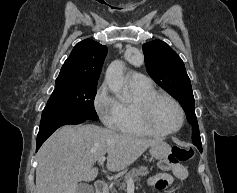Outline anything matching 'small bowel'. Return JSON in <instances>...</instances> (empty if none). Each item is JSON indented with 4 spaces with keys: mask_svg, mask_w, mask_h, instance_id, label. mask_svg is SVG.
Returning <instances> with one entry per match:
<instances>
[{
    "mask_svg": "<svg viewBox=\"0 0 237 193\" xmlns=\"http://www.w3.org/2000/svg\"><path fill=\"white\" fill-rule=\"evenodd\" d=\"M172 175L179 180H184L188 177V170L186 167L179 165L172 170ZM171 175L166 173H159L149 180V184H154L156 188L163 190L166 188Z\"/></svg>",
    "mask_w": 237,
    "mask_h": 193,
    "instance_id": "obj_1",
    "label": "small bowel"
}]
</instances>
